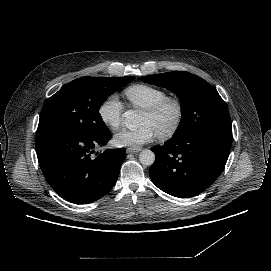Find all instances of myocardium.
<instances>
[{
	"instance_id": "myocardium-1",
	"label": "myocardium",
	"mask_w": 271,
	"mask_h": 271,
	"mask_svg": "<svg viewBox=\"0 0 271 271\" xmlns=\"http://www.w3.org/2000/svg\"><path fill=\"white\" fill-rule=\"evenodd\" d=\"M168 107L174 108L175 117L173 122L168 128L163 129L157 133V136L160 138L170 137L178 130L184 117V108L182 103L177 98L166 97L156 102L155 104L151 105L150 107L144 109V113L150 116H156L163 112Z\"/></svg>"
}]
</instances>
